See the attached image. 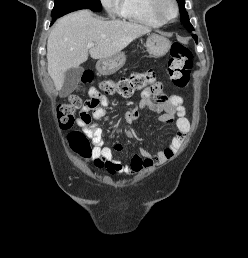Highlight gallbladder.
I'll list each match as a JSON object with an SVG mask.
<instances>
[{
    "instance_id": "bac80fb5",
    "label": "gallbladder",
    "mask_w": 248,
    "mask_h": 258,
    "mask_svg": "<svg viewBox=\"0 0 248 258\" xmlns=\"http://www.w3.org/2000/svg\"><path fill=\"white\" fill-rule=\"evenodd\" d=\"M83 71L84 69L78 66L65 72L64 83L61 90L59 91L61 97H66L75 90Z\"/></svg>"
}]
</instances>
